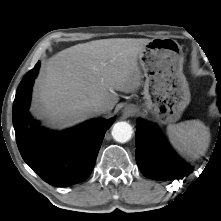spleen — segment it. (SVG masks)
I'll return each instance as SVG.
<instances>
[{
  "label": "spleen",
  "mask_w": 221,
  "mask_h": 221,
  "mask_svg": "<svg viewBox=\"0 0 221 221\" xmlns=\"http://www.w3.org/2000/svg\"><path fill=\"white\" fill-rule=\"evenodd\" d=\"M172 145L183 155L197 158L203 155L210 143L209 128L199 120H189L167 126Z\"/></svg>",
  "instance_id": "spleen-1"
}]
</instances>
